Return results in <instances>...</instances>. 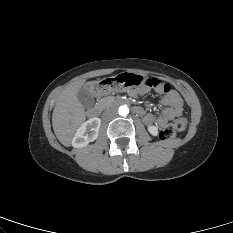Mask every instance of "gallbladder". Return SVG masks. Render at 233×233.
<instances>
[{
	"mask_svg": "<svg viewBox=\"0 0 233 233\" xmlns=\"http://www.w3.org/2000/svg\"><path fill=\"white\" fill-rule=\"evenodd\" d=\"M77 98L82 106L86 109L93 107L95 102L93 94L88 90L87 87H82L79 89Z\"/></svg>",
	"mask_w": 233,
	"mask_h": 233,
	"instance_id": "obj_1",
	"label": "gallbladder"
}]
</instances>
